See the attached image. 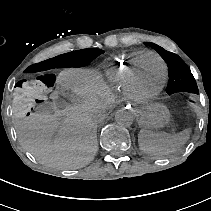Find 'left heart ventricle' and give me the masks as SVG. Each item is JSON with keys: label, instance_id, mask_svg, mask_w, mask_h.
<instances>
[{"label": "left heart ventricle", "instance_id": "obj_1", "mask_svg": "<svg viewBox=\"0 0 211 211\" xmlns=\"http://www.w3.org/2000/svg\"><path fill=\"white\" fill-rule=\"evenodd\" d=\"M162 78V69L160 64L155 59L145 61V64L140 73V86L146 92L155 90Z\"/></svg>", "mask_w": 211, "mask_h": 211}]
</instances>
